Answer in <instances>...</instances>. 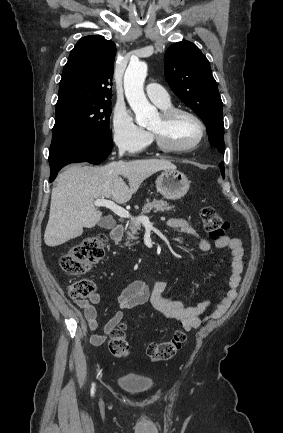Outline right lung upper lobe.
I'll use <instances>...</instances> for the list:
<instances>
[{
    "label": "right lung upper lobe",
    "mask_w": 283,
    "mask_h": 433,
    "mask_svg": "<svg viewBox=\"0 0 283 433\" xmlns=\"http://www.w3.org/2000/svg\"><path fill=\"white\" fill-rule=\"evenodd\" d=\"M115 54L114 42L103 36L81 38L64 67L56 111L82 103L111 101Z\"/></svg>",
    "instance_id": "1"
}]
</instances>
